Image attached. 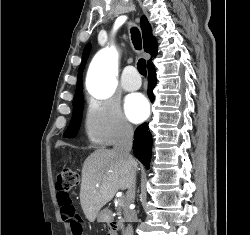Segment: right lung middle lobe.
I'll return each mask as SVG.
<instances>
[{
    "label": "right lung middle lobe",
    "instance_id": "right-lung-middle-lobe-1",
    "mask_svg": "<svg viewBox=\"0 0 250 235\" xmlns=\"http://www.w3.org/2000/svg\"><path fill=\"white\" fill-rule=\"evenodd\" d=\"M83 96L79 94L73 100V115L69 127L64 133V137H74L79 129L83 112Z\"/></svg>",
    "mask_w": 250,
    "mask_h": 235
}]
</instances>
